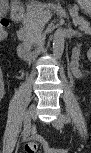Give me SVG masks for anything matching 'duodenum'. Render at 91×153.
<instances>
[{"label": "duodenum", "instance_id": "410a0bca", "mask_svg": "<svg viewBox=\"0 0 91 153\" xmlns=\"http://www.w3.org/2000/svg\"><path fill=\"white\" fill-rule=\"evenodd\" d=\"M14 16H15L16 21L22 22L23 19H24L23 10L22 9H16L14 11ZM17 53H18L19 57H21L22 59H25V60L30 59V58L35 56V51L31 50L29 48V46L27 44L23 43V42L18 44Z\"/></svg>", "mask_w": 91, "mask_h": 153}]
</instances>
